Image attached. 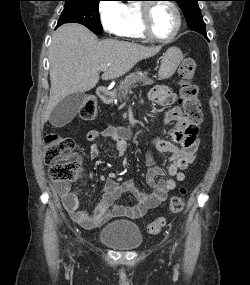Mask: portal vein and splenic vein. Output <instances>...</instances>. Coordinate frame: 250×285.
<instances>
[{
    "label": "portal vein and splenic vein",
    "instance_id": "18ae733b",
    "mask_svg": "<svg viewBox=\"0 0 250 285\" xmlns=\"http://www.w3.org/2000/svg\"><path fill=\"white\" fill-rule=\"evenodd\" d=\"M109 65H110V64H107V65L103 66V67L101 68V71H106V70L108 69Z\"/></svg>",
    "mask_w": 250,
    "mask_h": 285
}]
</instances>
